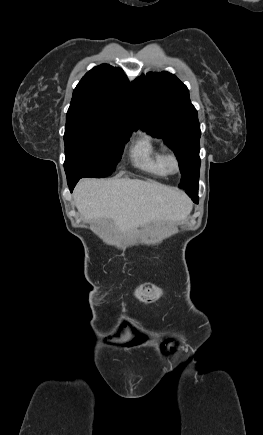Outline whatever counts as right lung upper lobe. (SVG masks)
Segmentation results:
<instances>
[{"label":"right lung upper lobe","instance_id":"1","mask_svg":"<svg viewBox=\"0 0 263 435\" xmlns=\"http://www.w3.org/2000/svg\"><path fill=\"white\" fill-rule=\"evenodd\" d=\"M73 114L133 131L136 111L131 85L123 70L108 64L90 70L73 91L67 116Z\"/></svg>","mask_w":263,"mask_h":435}]
</instances>
